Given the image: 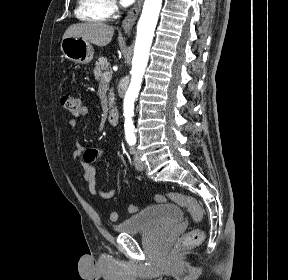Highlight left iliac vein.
<instances>
[{
    "instance_id": "1",
    "label": "left iliac vein",
    "mask_w": 288,
    "mask_h": 280,
    "mask_svg": "<svg viewBox=\"0 0 288 280\" xmlns=\"http://www.w3.org/2000/svg\"><path fill=\"white\" fill-rule=\"evenodd\" d=\"M134 165H135V168L137 170H143V168H144L143 163L140 161V159L137 155L134 158Z\"/></svg>"
}]
</instances>
